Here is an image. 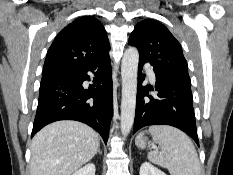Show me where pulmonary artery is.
I'll return each mask as SVG.
<instances>
[{
    "mask_svg": "<svg viewBox=\"0 0 233 175\" xmlns=\"http://www.w3.org/2000/svg\"><path fill=\"white\" fill-rule=\"evenodd\" d=\"M148 73H149V76H150V78H151V80H155V74H154V72L150 69L149 71H148Z\"/></svg>",
    "mask_w": 233,
    "mask_h": 175,
    "instance_id": "e3ab8cb5",
    "label": "pulmonary artery"
}]
</instances>
